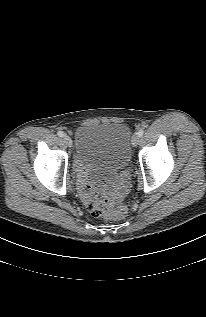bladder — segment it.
I'll return each instance as SVG.
<instances>
[{"mask_svg": "<svg viewBox=\"0 0 206 317\" xmlns=\"http://www.w3.org/2000/svg\"><path fill=\"white\" fill-rule=\"evenodd\" d=\"M131 138L123 123L83 124L75 132V149L95 175L105 176L128 167Z\"/></svg>", "mask_w": 206, "mask_h": 317, "instance_id": "obj_1", "label": "bladder"}]
</instances>
